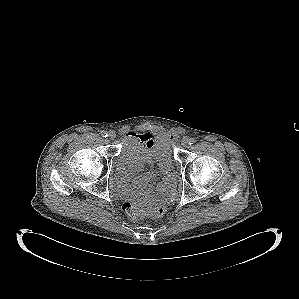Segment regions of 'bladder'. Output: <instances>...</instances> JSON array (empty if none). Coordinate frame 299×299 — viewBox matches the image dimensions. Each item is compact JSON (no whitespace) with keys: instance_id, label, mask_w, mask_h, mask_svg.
Returning <instances> with one entry per match:
<instances>
[{"instance_id":"bladder-1","label":"bladder","mask_w":299,"mask_h":299,"mask_svg":"<svg viewBox=\"0 0 299 299\" xmlns=\"http://www.w3.org/2000/svg\"><path fill=\"white\" fill-rule=\"evenodd\" d=\"M147 151L151 158L157 162H165L173 166L174 158L172 153L171 142L164 134L155 136L150 148L146 149L135 137H127L114 160L113 176L116 182H122L134 174L131 168L132 160L141 152Z\"/></svg>"}]
</instances>
